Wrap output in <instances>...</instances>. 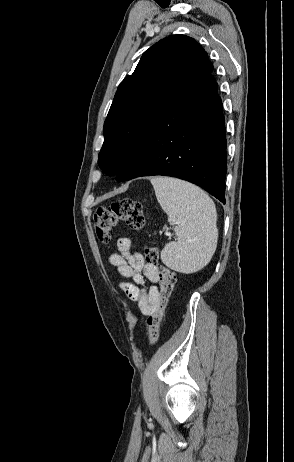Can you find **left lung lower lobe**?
<instances>
[{
  "label": "left lung lower lobe",
  "mask_w": 294,
  "mask_h": 462,
  "mask_svg": "<svg viewBox=\"0 0 294 462\" xmlns=\"http://www.w3.org/2000/svg\"><path fill=\"white\" fill-rule=\"evenodd\" d=\"M212 75L189 83L145 130L117 181L164 175L192 182L225 204L226 134Z\"/></svg>",
  "instance_id": "0a47b994"
}]
</instances>
